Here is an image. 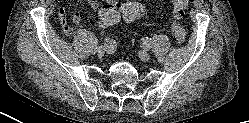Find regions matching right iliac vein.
<instances>
[{
    "mask_svg": "<svg viewBox=\"0 0 249 123\" xmlns=\"http://www.w3.org/2000/svg\"><path fill=\"white\" fill-rule=\"evenodd\" d=\"M106 51H107V47L106 46H99L97 48V55L99 57H101V56H103L106 53Z\"/></svg>",
    "mask_w": 249,
    "mask_h": 123,
    "instance_id": "obj_1",
    "label": "right iliac vein"
}]
</instances>
